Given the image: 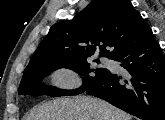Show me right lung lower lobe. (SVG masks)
Returning a JSON list of instances; mask_svg holds the SVG:
<instances>
[{"label": "right lung lower lobe", "instance_id": "obj_1", "mask_svg": "<svg viewBox=\"0 0 165 120\" xmlns=\"http://www.w3.org/2000/svg\"><path fill=\"white\" fill-rule=\"evenodd\" d=\"M113 60L128 71L127 76L109 73L89 86V95L142 120H165V57L154 35L143 38Z\"/></svg>", "mask_w": 165, "mask_h": 120}]
</instances>
